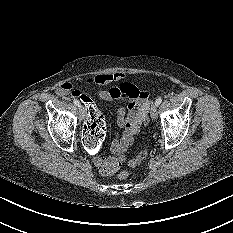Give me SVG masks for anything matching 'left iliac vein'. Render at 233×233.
Returning <instances> with one entry per match:
<instances>
[{"instance_id":"left-iliac-vein-1","label":"left iliac vein","mask_w":233,"mask_h":233,"mask_svg":"<svg viewBox=\"0 0 233 233\" xmlns=\"http://www.w3.org/2000/svg\"><path fill=\"white\" fill-rule=\"evenodd\" d=\"M150 115L153 120L157 119L158 112H157V105L155 103L151 106Z\"/></svg>"}]
</instances>
